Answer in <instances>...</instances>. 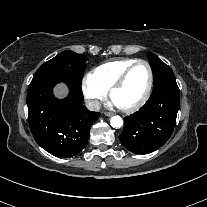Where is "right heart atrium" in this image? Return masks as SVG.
<instances>
[{"mask_svg": "<svg viewBox=\"0 0 207 207\" xmlns=\"http://www.w3.org/2000/svg\"><path fill=\"white\" fill-rule=\"evenodd\" d=\"M81 88L85 98L92 108H97L99 106V102L107 95V91L99 86L90 75L83 78Z\"/></svg>", "mask_w": 207, "mask_h": 207, "instance_id": "right-heart-atrium-1", "label": "right heart atrium"}]
</instances>
